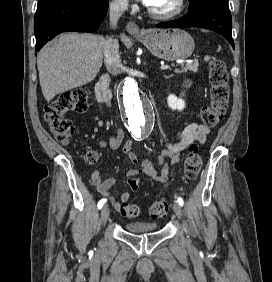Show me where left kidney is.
Masks as SVG:
<instances>
[{"label":"left kidney","instance_id":"1","mask_svg":"<svg viewBox=\"0 0 272 282\" xmlns=\"http://www.w3.org/2000/svg\"><path fill=\"white\" fill-rule=\"evenodd\" d=\"M191 84V81H187L186 86L189 87ZM167 103L172 110L182 111L185 108V101L182 98H178L173 94H170L168 96Z\"/></svg>","mask_w":272,"mask_h":282}]
</instances>
